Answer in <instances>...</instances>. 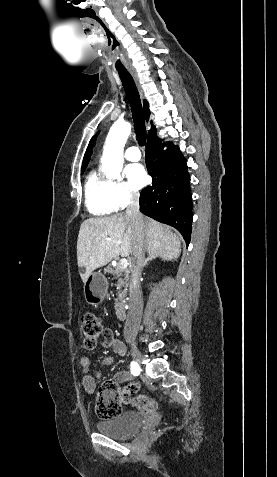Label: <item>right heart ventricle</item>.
<instances>
[{"label": "right heart ventricle", "mask_w": 277, "mask_h": 477, "mask_svg": "<svg viewBox=\"0 0 277 477\" xmlns=\"http://www.w3.org/2000/svg\"><path fill=\"white\" fill-rule=\"evenodd\" d=\"M85 205L95 216H105L115 211L110 198V181L96 170H91L84 184Z\"/></svg>", "instance_id": "1"}]
</instances>
